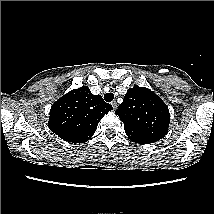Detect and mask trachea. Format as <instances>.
Instances as JSON below:
<instances>
[{
    "label": "trachea",
    "mask_w": 214,
    "mask_h": 214,
    "mask_svg": "<svg viewBox=\"0 0 214 214\" xmlns=\"http://www.w3.org/2000/svg\"><path fill=\"white\" fill-rule=\"evenodd\" d=\"M104 99L106 102H111L114 99V94L113 93H106L104 95Z\"/></svg>",
    "instance_id": "obj_1"
}]
</instances>
